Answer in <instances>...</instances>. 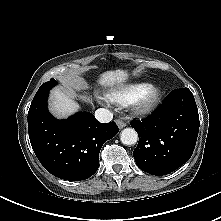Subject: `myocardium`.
Listing matches in <instances>:
<instances>
[{
	"label": "myocardium",
	"mask_w": 221,
	"mask_h": 221,
	"mask_svg": "<svg viewBox=\"0 0 221 221\" xmlns=\"http://www.w3.org/2000/svg\"><path fill=\"white\" fill-rule=\"evenodd\" d=\"M160 98V89L150 85L131 104L136 114L148 113L158 102Z\"/></svg>",
	"instance_id": "1"
}]
</instances>
